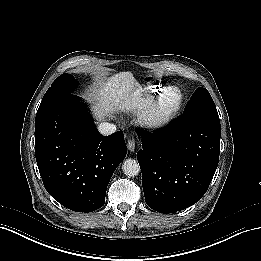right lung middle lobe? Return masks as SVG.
I'll list each match as a JSON object with an SVG mask.
<instances>
[{"instance_id":"dd1d6c3e","label":"right lung middle lobe","mask_w":261,"mask_h":261,"mask_svg":"<svg viewBox=\"0 0 261 261\" xmlns=\"http://www.w3.org/2000/svg\"><path fill=\"white\" fill-rule=\"evenodd\" d=\"M76 80L71 74H63L59 76L45 93L41 104L38 108L36 119L40 117L46 110L59 102L65 95L70 94L76 87Z\"/></svg>"}]
</instances>
